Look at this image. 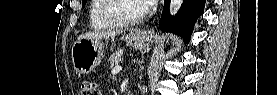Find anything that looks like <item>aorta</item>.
I'll return each mask as SVG.
<instances>
[{"instance_id": "obj_1", "label": "aorta", "mask_w": 277, "mask_h": 95, "mask_svg": "<svg viewBox=\"0 0 277 95\" xmlns=\"http://www.w3.org/2000/svg\"><path fill=\"white\" fill-rule=\"evenodd\" d=\"M183 0H171L170 2V14L174 16L178 10L180 9L182 5ZM141 91L145 93L147 91V88L144 86L142 87Z\"/></svg>"}]
</instances>
